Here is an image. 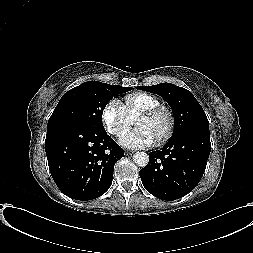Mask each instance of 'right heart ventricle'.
Wrapping results in <instances>:
<instances>
[{"label": "right heart ventricle", "mask_w": 253, "mask_h": 253, "mask_svg": "<svg viewBox=\"0 0 253 253\" xmlns=\"http://www.w3.org/2000/svg\"><path fill=\"white\" fill-rule=\"evenodd\" d=\"M160 105V100L153 94L147 92H134L124 97L123 106L130 118L137 116L140 112Z\"/></svg>", "instance_id": "e07e8e85"}]
</instances>
